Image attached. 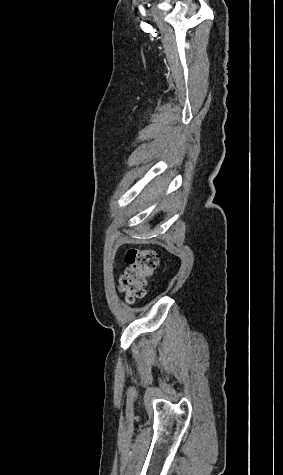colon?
Wrapping results in <instances>:
<instances>
[{"label":"colon","mask_w":283,"mask_h":475,"mask_svg":"<svg viewBox=\"0 0 283 475\" xmlns=\"http://www.w3.org/2000/svg\"><path fill=\"white\" fill-rule=\"evenodd\" d=\"M130 268L119 278V288L126 293L129 304H135L145 294V286L159 266L154 248L138 247L127 253Z\"/></svg>","instance_id":"obj_1"}]
</instances>
